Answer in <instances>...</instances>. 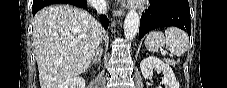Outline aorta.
Returning <instances> with one entry per match:
<instances>
[{"mask_svg": "<svg viewBox=\"0 0 227 88\" xmlns=\"http://www.w3.org/2000/svg\"><path fill=\"white\" fill-rule=\"evenodd\" d=\"M139 25L140 17L138 13L135 10L129 11L124 21V35L127 40H132L135 37Z\"/></svg>", "mask_w": 227, "mask_h": 88, "instance_id": "1", "label": "aorta"}]
</instances>
